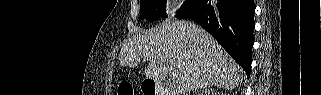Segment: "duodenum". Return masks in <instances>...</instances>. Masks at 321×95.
<instances>
[{
	"instance_id": "duodenum-1",
	"label": "duodenum",
	"mask_w": 321,
	"mask_h": 95,
	"mask_svg": "<svg viewBox=\"0 0 321 95\" xmlns=\"http://www.w3.org/2000/svg\"><path fill=\"white\" fill-rule=\"evenodd\" d=\"M161 93L160 92H156V95H160Z\"/></svg>"
}]
</instances>
